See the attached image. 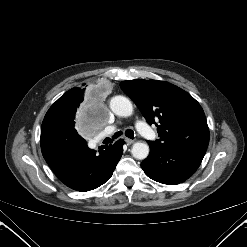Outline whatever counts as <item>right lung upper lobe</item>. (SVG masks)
<instances>
[{
  "label": "right lung upper lobe",
  "mask_w": 247,
  "mask_h": 247,
  "mask_svg": "<svg viewBox=\"0 0 247 247\" xmlns=\"http://www.w3.org/2000/svg\"><path fill=\"white\" fill-rule=\"evenodd\" d=\"M84 92L85 88H72L65 94H63L60 98L71 97L74 99H81L83 97Z\"/></svg>",
  "instance_id": "obj_1"
}]
</instances>
